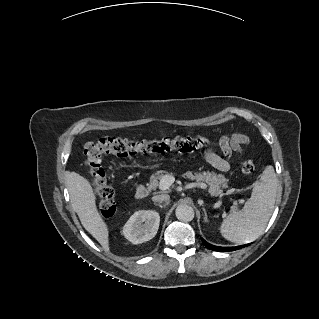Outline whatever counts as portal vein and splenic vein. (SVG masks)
I'll list each match as a JSON object with an SVG mask.
<instances>
[{"label":"portal vein and splenic vein","instance_id":"1","mask_svg":"<svg viewBox=\"0 0 319 319\" xmlns=\"http://www.w3.org/2000/svg\"><path fill=\"white\" fill-rule=\"evenodd\" d=\"M175 181V177L171 174H166L159 182L158 188L161 191L167 190Z\"/></svg>","mask_w":319,"mask_h":319}]
</instances>
